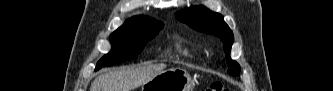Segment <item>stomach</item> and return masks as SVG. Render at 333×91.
I'll list each match as a JSON object with an SVG mask.
<instances>
[{
	"label": "stomach",
	"instance_id": "0dacf381",
	"mask_svg": "<svg viewBox=\"0 0 333 91\" xmlns=\"http://www.w3.org/2000/svg\"><path fill=\"white\" fill-rule=\"evenodd\" d=\"M194 82L183 68H170L141 86V91H193Z\"/></svg>",
	"mask_w": 333,
	"mask_h": 91
}]
</instances>
